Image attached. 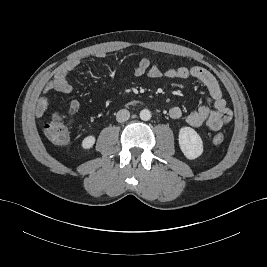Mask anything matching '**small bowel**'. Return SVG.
Listing matches in <instances>:
<instances>
[{
  "label": "small bowel",
  "mask_w": 267,
  "mask_h": 267,
  "mask_svg": "<svg viewBox=\"0 0 267 267\" xmlns=\"http://www.w3.org/2000/svg\"><path fill=\"white\" fill-rule=\"evenodd\" d=\"M96 57H105L104 52L96 53ZM79 65V60L74 59L66 63L58 69L52 80L45 86L44 92L56 91L69 93L72 90V85L69 82V74L73 72ZM135 77L147 75L150 78H194L200 81L207 89L212 101L213 108L208 106H200L196 111L189 113L185 117V121L192 127L206 126L212 131L220 130L232 118V112L228 108L226 100L222 95L219 83L216 78L203 67H178L162 69L158 65L151 64L147 57L142 58L137 66L133 69ZM48 100L42 97L36 106V114L41 117L47 110ZM80 109V103L77 100H72L69 105L70 113H76ZM170 117L180 119L183 116V111L179 107H173L169 111Z\"/></svg>",
  "instance_id": "c3829d8e"
}]
</instances>
